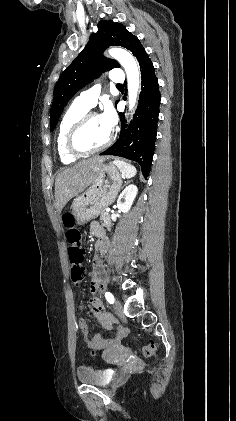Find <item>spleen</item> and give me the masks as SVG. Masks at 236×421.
I'll use <instances>...</instances> for the list:
<instances>
[{"label": "spleen", "instance_id": "3e777b00", "mask_svg": "<svg viewBox=\"0 0 236 421\" xmlns=\"http://www.w3.org/2000/svg\"><path fill=\"white\" fill-rule=\"evenodd\" d=\"M116 166H118L120 172H122L125 178H131V176H135L137 170L133 164H129V162H125V160H114Z\"/></svg>", "mask_w": 236, "mask_h": 421}]
</instances>
